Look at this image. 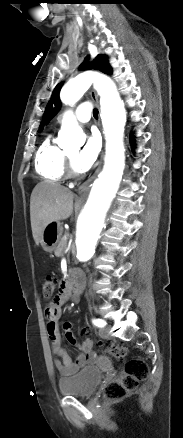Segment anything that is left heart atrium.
Masks as SVG:
<instances>
[{
  "mask_svg": "<svg viewBox=\"0 0 183 438\" xmlns=\"http://www.w3.org/2000/svg\"><path fill=\"white\" fill-rule=\"evenodd\" d=\"M101 142L96 134L90 135L84 147L74 160V165L79 171L88 170L98 157L100 152Z\"/></svg>",
  "mask_w": 183,
  "mask_h": 438,
  "instance_id": "left-heart-atrium-1",
  "label": "left heart atrium"
}]
</instances>
